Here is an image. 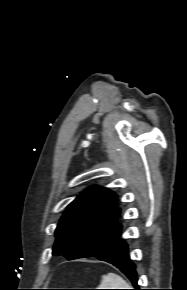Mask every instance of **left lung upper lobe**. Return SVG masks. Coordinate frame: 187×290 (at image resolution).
<instances>
[{
  "label": "left lung upper lobe",
  "instance_id": "obj_1",
  "mask_svg": "<svg viewBox=\"0 0 187 290\" xmlns=\"http://www.w3.org/2000/svg\"><path fill=\"white\" fill-rule=\"evenodd\" d=\"M117 195L93 187L71 202L56 228L53 255L68 260L94 255L120 226Z\"/></svg>",
  "mask_w": 187,
  "mask_h": 290
}]
</instances>
